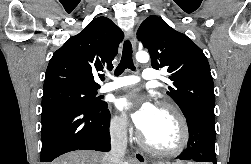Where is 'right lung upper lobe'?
Here are the masks:
<instances>
[{
	"instance_id": "cb5924a9",
	"label": "right lung upper lobe",
	"mask_w": 251,
	"mask_h": 164,
	"mask_svg": "<svg viewBox=\"0 0 251 164\" xmlns=\"http://www.w3.org/2000/svg\"><path fill=\"white\" fill-rule=\"evenodd\" d=\"M123 37L121 29L109 18L92 20L53 54L46 70L44 92L59 87L99 89L94 77L99 71L113 68L112 60Z\"/></svg>"
}]
</instances>
